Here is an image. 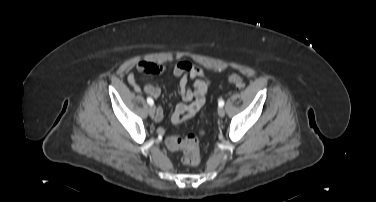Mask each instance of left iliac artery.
<instances>
[{
  "mask_svg": "<svg viewBox=\"0 0 376 202\" xmlns=\"http://www.w3.org/2000/svg\"><path fill=\"white\" fill-rule=\"evenodd\" d=\"M218 105H219V107H223L224 106V100L220 99L219 102H218Z\"/></svg>",
  "mask_w": 376,
  "mask_h": 202,
  "instance_id": "44dca946",
  "label": "left iliac artery"
}]
</instances>
